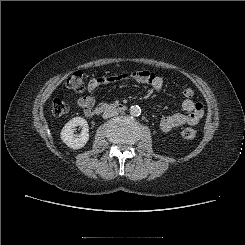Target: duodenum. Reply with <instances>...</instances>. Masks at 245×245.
<instances>
[{
  "mask_svg": "<svg viewBox=\"0 0 245 245\" xmlns=\"http://www.w3.org/2000/svg\"><path fill=\"white\" fill-rule=\"evenodd\" d=\"M127 105L123 103H101L97 105L92 111L91 115H99L106 111H115V112H125Z\"/></svg>",
  "mask_w": 245,
  "mask_h": 245,
  "instance_id": "1",
  "label": "duodenum"
}]
</instances>
